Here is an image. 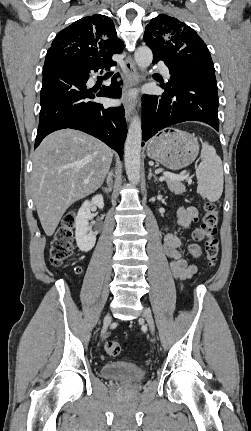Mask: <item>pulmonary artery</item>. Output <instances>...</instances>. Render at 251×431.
Here are the masks:
<instances>
[{
	"label": "pulmonary artery",
	"instance_id": "pulmonary-artery-1",
	"mask_svg": "<svg viewBox=\"0 0 251 431\" xmlns=\"http://www.w3.org/2000/svg\"><path fill=\"white\" fill-rule=\"evenodd\" d=\"M155 68L160 71L165 77H170V71L168 67L164 64H158Z\"/></svg>",
	"mask_w": 251,
	"mask_h": 431
}]
</instances>
